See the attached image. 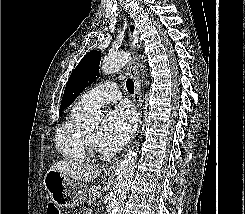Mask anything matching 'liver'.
Here are the masks:
<instances>
[{
  "label": "liver",
  "mask_w": 245,
  "mask_h": 214,
  "mask_svg": "<svg viewBox=\"0 0 245 214\" xmlns=\"http://www.w3.org/2000/svg\"><path fill=\"white\" fill-rule=\"evenodd\" d=\"M50 170H56L78 182H90L96 179L101 168L94 165H81L72 160L58 161L50 167Z\"/></svg>",
  "instance_id": "1"
}]
</instances>
